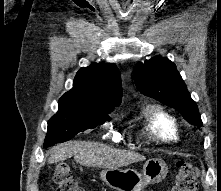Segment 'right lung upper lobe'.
Masks as SVG:
<instances>
[{"label":"right lung upper lobe","instance_id":"1","mask_svg":"<svg viewBox=\"0 0 221 191\" xmlns=\"http://www.w3.org/2000/svg\"><path fill=\"white\" fill-rule=\"evenodd\" d=\"M122 84L120 73L112 63H92L81 68L73 88L59 99V108L109 113L120 105Z\"/></svg>","mask_w":221,"mask_h":191}]
</instances>
